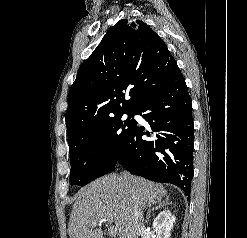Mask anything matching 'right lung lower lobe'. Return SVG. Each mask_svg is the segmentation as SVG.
<instances>
[{"instance_id":"1","label":"right lung lower lobe","mask_w":247,"mask_h":238,"mask_svg":"<svg viewBox=\"0 0 247 238\" xmlns=\"http://www.w3.org/2000/svg\"><path fill=\"white\" fill-rule=\"evenodd\" d=\"M150 129L133 126L117 163L134 175L171 183L190 194L193 178V119L188 89L178 70L159 91L134 112ZM150 137L143 140L142 136Z\"/></svg>"}]
</instances>
